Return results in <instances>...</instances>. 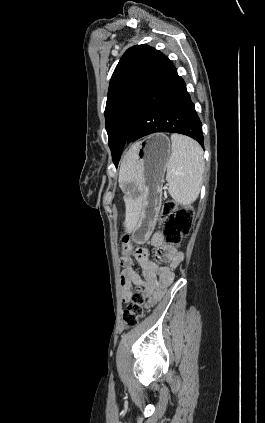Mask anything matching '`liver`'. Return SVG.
I'll use <instances>...</instances> for the list:
<instances>
[{"label": "liver", "instance_id": "liver-1", "mask_svg": "<svg viewBox=\"0 0 265 423\" xmlns=\"http://www.w3.org/2000/svg\"><path fill=\"white\" fill-rule=\"evenodd\" d=\"M136 149L137 144L128 151L122 161L119 172V181L121 184L126 182L140 183L141 181V171L136 163ZM140 208L139 204L132 202L127 204L125 227L128 232L133 230L138 220Z\"/></svg>", "mask_w": 265, "mask_h": 423}]
</instances>
